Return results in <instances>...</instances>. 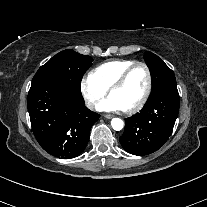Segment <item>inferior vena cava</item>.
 <instances>
[{
	"mask_svg": "<svg viewBox=\"0 0 207 207\" xmlns=\"http://www.w3.org/2000/svg\"><path fill=\"white\" fill-rule=\"evenodd\" d=\"M86 106L89 108V109H94L95 108V106H96V102H94V101H88L87 103H86Z\"/></svg>",
	"mask_w": 207,
	"mask_h": 207,
	"instance_id": "obj_1",
	"label": "inferior vena cava"
}]
</instances>
